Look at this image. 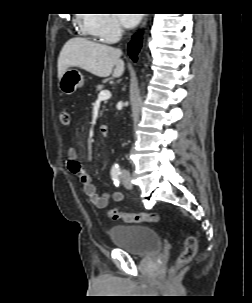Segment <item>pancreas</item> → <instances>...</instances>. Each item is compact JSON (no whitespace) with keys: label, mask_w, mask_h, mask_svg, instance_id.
<instances>
[{"label":"pancreas","mask_w":252,"mask_h":303,"mask_svg":"<svg viewBox=\"0 0 252 303\" xmlns=\"http://www.w3.org/2000/svg\"><path fill=\"white\" fill-rule=\"evenodd\" d=\"M103 88H104L103 85H97L96 92H101L103 90Z\"/></svg>","instance_id":"obj_1"}]
</instances>
